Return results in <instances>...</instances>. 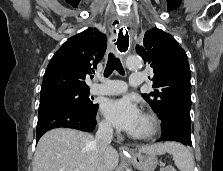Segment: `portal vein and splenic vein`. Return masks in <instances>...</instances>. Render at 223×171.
<instances>
[{
    "label": "portal vein and splenic vein",
    "mask_w": 223,
    "mask_h": 171,
    "mask_svg": "<svg viewBox=\"0 0 223 171\" xmlns=\"http://www.w3.org/2000/svg\"><path fill=\"white\" fill-rule=\"evenodd\" d=\"M75 171H80V169H76Z\"/></svg>",
    "instance_id": "obj_1"
}]
</instances>
